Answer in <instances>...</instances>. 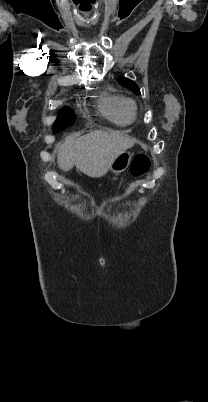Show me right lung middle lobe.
<instances>
[{"label":"right lung middle lobe","mask_w":208,"mask_h":402,"mask_svg":"<svg viewBox=\"0 0 208 402\" xmlns=\"http://www.w3.org/2000/svg\"><path fill=\"white\" fill-rule=\"evenodd\" d=\"M74 121L73 114L68 111H62L61 115L57 118L53 126V133H56L68 127Z\"/></svg>","instance_id":"obj_1"}]
</instances>
